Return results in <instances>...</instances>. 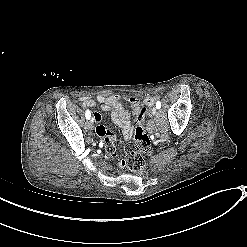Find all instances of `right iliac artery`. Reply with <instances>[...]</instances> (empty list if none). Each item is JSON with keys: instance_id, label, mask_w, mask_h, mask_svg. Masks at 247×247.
<instances>
[{"instance_id": "right-iliac-artery-1", "label": "right iliac artery", "mask_w": 247, "mask_h": 247, "mask_svg": "<svg viewBox=\"0 0 247 247\" xmlns=\"http://www.w3.org/2000/svg\"><path fill=\"white\" fill-rule=\"evenodd\" d=\"M85 117H86V119H90L91 113L89 110H86Z\"/></svg>"}]
</instances>
